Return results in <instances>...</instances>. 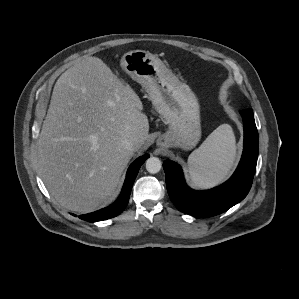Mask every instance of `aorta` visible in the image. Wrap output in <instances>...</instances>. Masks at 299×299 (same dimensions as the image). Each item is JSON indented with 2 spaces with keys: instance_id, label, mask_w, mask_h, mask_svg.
Instances as JSON below:
<instances>
[{
  "instance_id": "762f6f07",
  "label": "aorta",
  "mask_w": 299,
  "mask_h": 299,
  "mask_svg": "<svg viewBox=\"0 0 299 299\" xmlns=\"http://www.w3.org/2000/svg\"><path fill=\"white\" fill-rule=\"evenodd\" d=\"M161 161L156 157H150L146 161V170L151 174H156L161 170Z\"/></svg>"
}]
</instances>
